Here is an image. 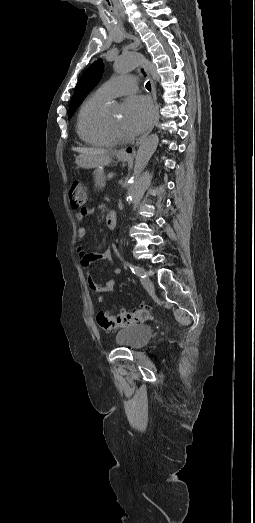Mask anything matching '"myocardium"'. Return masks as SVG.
I'll list each match as a JSON object with an SVG mask.
<instances>
[{"instance_id":"f54148a6","label":"myocardium","mask_w":255,"mask_h":523,"mask_svg":"<svg viewBox=\"0 0 255 523\" xmlns=\"http://www.w3.org/2000/svg\"><path fill=\"white\" fill-rule=\"evenodd\" d=\"M102 124H103L104 129L112 136V138L115 141L128 142L131 140V137L124 136L120 133L116 124L108 115H106V114L104 115Z\"/></svg>"}]
</instances>
